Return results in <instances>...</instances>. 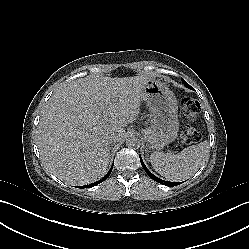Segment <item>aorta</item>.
Wrapping results in <instances>:
<instances>
[{
  "label": "aorta",
  "mask_w": 249,
  "mask_h": 249,
  "mask_svg": "<svg viewBox=\"0 0 249 249\" xmlns=\"http://www.w3.org/2000/svg\"><path fill=\"white\" fill-rule=\"evenodd\" d=\"M126 145L129 148H137L140 146V140L135 136H129L126 139Z\"/></svg>",
  "instance_id": "1"
}]
</instances>
